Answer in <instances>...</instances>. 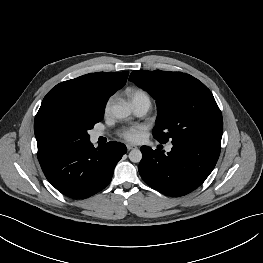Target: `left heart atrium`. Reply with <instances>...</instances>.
Returning <instances> with one entry per match:
<instances>
[{"instance_id":"obj_1","label":"left heart atrium","mask_w":263,"mask_h":263,"mask_svg":"<svg viewBox=\"0 0 263 263\" xmlns=\"http://www.w3.org/2000/svg\"><path fill=\"white\" fill-rule=\"evenodd\" d=\"M140 129L139 126L126 127L119 132V135L127 141L135 142L140 137Z\"/></svg>"}]
</instances>
